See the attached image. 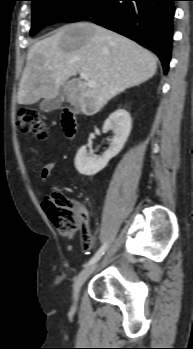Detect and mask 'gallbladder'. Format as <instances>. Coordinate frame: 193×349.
<instances>
[{
  "mask_svg": "<svg viewBox=\"0 0 193 349\" xmlns=\"http://www.w3.org/2000/svg\"><path fill=\"white\" fill-rule=\"evenodd\" d=\"M65 97V86H62L58 95L52 99H44L39 107L44 112H51L61 107Z\"/></svg>",
  "mask_w": 193,
  "mask_h": 349,
  "instance_id": "gallbladder-1",
  "label": "gallbladder"
}]
</instances>
